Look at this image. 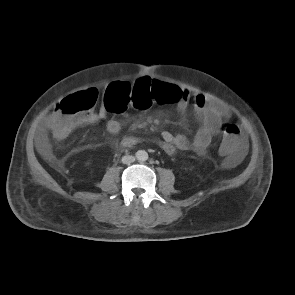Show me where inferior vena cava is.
Instances as JSON below:
<instances>
[{"label":"inferior vena cava","instance_id":"obj_1","mask_svg":"<svg viewBox=\"0 0 295 295\" xmlns=\"http://www.w3.org/2000/svg\"><path fill=\"white\" fill-rule=\"evenodd\" d=\"M121 161L123 164H130L135 161V157L132 155H125L122 157Z\"/></svg>","mask_w":295,"mask_h":295}]
</instances>
